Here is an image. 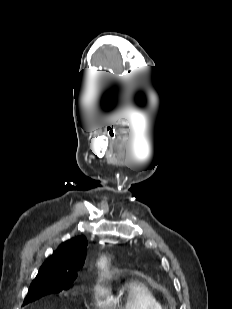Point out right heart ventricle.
Segmentation results:
<instances>
[{
    "instance_id": "1",
    "label": "right heart ventricle",
    "mask_w": 232,
    "mask_h": 309,
    "mask_svg": "<svg viewBox=\"0 0 232 309\" xmlns=\"http://www.w3.org/2000/svg\"><path fill=\"white\" fill-rule=\"evenodd\" d=\"M104 309H163V306L148 286L131 280L116 297L107 299Z\"/></svg>"
}]
</instances>
